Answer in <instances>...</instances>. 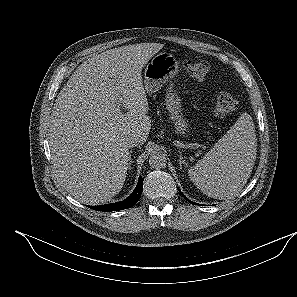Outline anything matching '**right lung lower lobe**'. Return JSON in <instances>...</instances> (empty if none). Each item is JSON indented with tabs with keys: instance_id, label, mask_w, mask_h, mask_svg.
<instances>
[{
	"instance_id": "right-lung-lower-lobe-1",
	"label": "right lung lower lobe",
	"mask_w": 297,
	"mask_h": 297,
	"mask_svg": "<svg viewBox=\"0 0 297 297\" xmlns=\"http://www.w3.org/2000/svg\"><path fill=\"white\" fill-rule=\"evenodd\" d=\"M142 191H143V180H142V177H140L135 190L127 199L117 203H112V204H106L101 206H89V208L97 211H118V210L127 209L134 206L137 203V201L141 197Z\"/></svg>"
}]
</instances>
